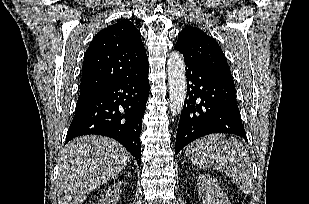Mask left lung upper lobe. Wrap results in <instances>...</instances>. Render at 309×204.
Wrapping results in <instances>:
<instances>
[{
  "instance_id": "5c2ea615",
  "label": "left lung upper lobe",
  "mask_w": 309,
  "mask_h": 204,
  "mask_svg": "<svg viewBox=\"0 0 309 204\" xmlns=\"http://www.w3.org/2000/svg\"><path fill=\"white\" fill-rule=\"evenodd\" d=\"M175 49L183 54L185 61L202 64L231 76L225 55L217 42L198 28L186 26L179 34Z\"/></svg>"
}]
</instances>
